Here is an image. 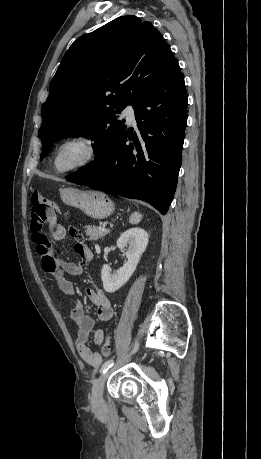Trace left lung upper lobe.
<instances>
[{
    "label": "left lung upper lobe",
    "instance_id": "left-lung-upper-lobe-1",
    "mask_svg": "<svg viewBox=\"0 0 261 459\" xmlns=\"http://www.w3.org/2000/svg\"><path fill=\"white\" fill-rule=\"evenodd\" d=\"M175 62L160 32L133 15L78 38L65 53L41 109V158L54 141L81 135L96 143L95 160L84 168L101 162L126 129L117 113L134 105Z\"/></svg>",
    "mask_w": 261,
    "mask_h": 459
}]
</instances>
